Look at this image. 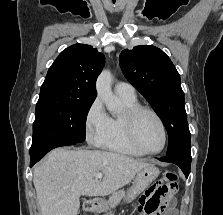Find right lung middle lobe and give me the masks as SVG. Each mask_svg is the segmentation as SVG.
Segmentation results:
<instances>
[{
	"instance_id": "obj_1",
	"label": "right lung middle lobe",
	"mask_w": 223,
	"mask_h": 215,
	"mask_svg": "<svg viewBox=\"0 0 223 215\" xmlns=\"http://www.w3.org/2000/svg\"><path fill=\"white\" fill-rule=\"evenodd\" d=\"M93 102L40 98L36 104L30 152L65 143H82Z\"/></svg>"
}]
</instances>
